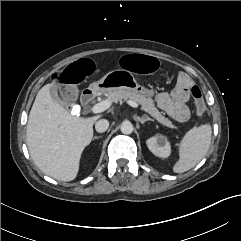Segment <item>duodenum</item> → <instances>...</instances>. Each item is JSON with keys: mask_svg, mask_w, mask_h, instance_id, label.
Wrapping results in <instances>:
<instances>
[{"mask_svg": "<svg viewBox=\"0 0 241 241\" xmlns=\"http://www.w3.org/2000/svg\"><path fill=\"white\" fill-rule=\"evenodd\" d=\"M98 89H85L81 95V101L84 105H89L95 98Z\"/></svg>", "mask_w": 241, "mask_h": 241, "instance_id": "duodenum-1", "label": "duodenum"}]
</instances>
